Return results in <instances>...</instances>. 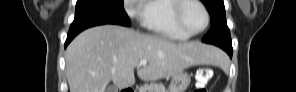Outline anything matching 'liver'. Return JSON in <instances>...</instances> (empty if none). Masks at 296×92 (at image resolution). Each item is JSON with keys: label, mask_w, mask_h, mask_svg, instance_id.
Wrapping results in <instances>:
<instances>
[{"label": "liver", "mask_w": 296, "mask_h": 92, "mask_svg": "<svg viewBox=\"0 0 296 92\" xmlns=\"http://www.w3.org/2000/svg\"><path fill=\"white\" fill-rule=\"evenodd\" d=\"M220 52L200 42L176 43L118 25L80 33L66 50L70 92H106L110 81L119 89L134 85V69L145 81L175 76L193 65H217ZM142 59L146 65L139 66Z\"/></svg>", "instance_id": "1"}]
</instances>
